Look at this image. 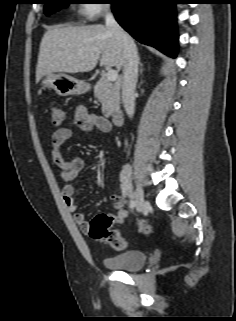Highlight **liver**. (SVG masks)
<instances>
[{
  "label": "liver",
  "instance_id": "obj_1",
  "mask_svg": "<svg viewBox=\"0 0 236 321\" xmlns=\"http://www.w3.org/2000/svg\"><path fill=\"white\" fill-rule=\"evenodd\" d=\"M120 70L124 54L115 36L101 24L55 26L44 34L39 48L36 82L51 73H82L93 70L98 60Z\"/></svg>",
  "mask_w": 236,
  "mask_h": 321
}]
</instances>
